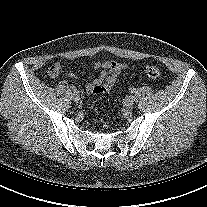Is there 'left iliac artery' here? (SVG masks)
Returning <instances> with one entry per match:
<instances>
[{
    "label": "left iliac artery",
    "instance_id": "1",
    "mask_svg": "<svg viewBox=\"0 0 207 207\" xmlns=\"http://www.w3.org/2000/svg\"><path fill=\"white\" fill-rule=\"evenodd\" d=\"M135 91V88L134 87H130L129 88V92L133 93Z\"/></svg>",
    "mask_w": 207,
    "mask_h": 207
}]
</instances>
